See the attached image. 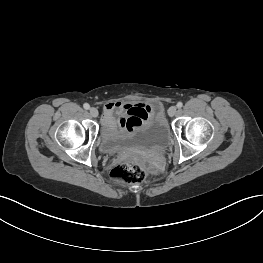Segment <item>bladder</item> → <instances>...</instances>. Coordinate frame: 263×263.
<instances>
[{
    "label": "bladder",
    "instance_id": "obj_1",
    "mask_svg": "<svg viewBox=\"0 0 263 263\" xmlns=\"http://www.w3.org/2000/svg\"><path fill=\"white\" fill-rule=\"evenodd\" d=\"M103 143L109 150H116L126 144H137L143 147H163L169 140V129L163 112L158 105H148L147 117L132 131H126L117 124L105 126Z\"/></svg>",
    "mask_w": 263,
    "mask_h": 263
}]
</instances>
